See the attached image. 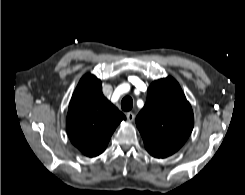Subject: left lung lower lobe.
<instances>
[{
  "label": "left lung lower lobe",
  "mask_w": 245,
  "mask_h": 195,
  "mask_svg": "<svg viewBox=\"0 0 245 195\" xmlns=\"http://www.w3.org/2000/svg\"><path fill=\"white\" fill-rule=\"evenodd\" d=\"M152 156L156 157V158H165V157H162V156H158V155H155V154H152L150 153Z\"/></svg>",
  "instance_id": "0a47b994"
}]
</instances>
